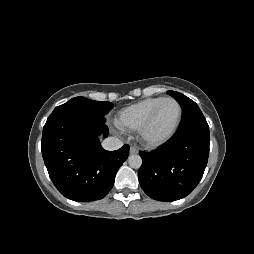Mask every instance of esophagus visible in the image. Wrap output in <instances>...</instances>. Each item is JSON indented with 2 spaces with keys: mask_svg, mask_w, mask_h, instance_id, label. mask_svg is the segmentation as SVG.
<instances>
[{
  "mask_svg": "<svg viewBox=\"0 0 254 254\" xmlns=\"http://www.w3.org/2000/svg\"><path fill=\"white\" fill-rule=\"evenodd\" d=\"M138 151H139V150H138L136 147H134V146H131V147H130V150H129L130 154H137Z\"/></svg>",
  "mask_w": 254,
  "mask_h": 254,
  "instance_id": "obj_1",
  "label": "esophagus"
}]
</instances>
